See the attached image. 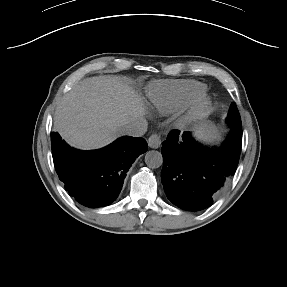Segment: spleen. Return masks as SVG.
<instances>
[{"label":"spleen","instance_id":"obj_1","mask_svg":"<svg viewBox=\"0 0 287 287\" xmlns=\"http://www.w3.org/2000/svg\"><path fill=\"white\" fill-rule=\"evenodd\" d=\"M196 139L206 143H218L222 137V131L212 122H204L195 127Z\"/></svg>","mask_w":287,"mask_h":287}]
</instances>
